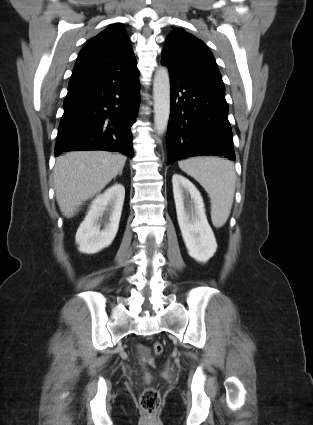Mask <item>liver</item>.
I'll use <instances>...</instances> for the list:
<instances>
[{
    "label": "liver",
    "instance_id": "liver-1",
    "mask_svg": "<svg viewBox=\"0 0 313 425\" xmlns=\"http://www.w3.org/2000/svg\"><path fill=\"white\" fill-rule=\"evenodd\" d=\"M126 157L106 151H75L56 159L54 189L60 211L66 218L98 194L119 171Z\"/></svg>",
    "mask_w": 313,
    "mask_h": 425
}]
</instances>
